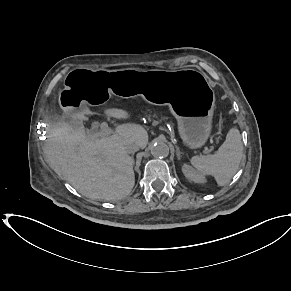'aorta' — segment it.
<instances>
[{
	"label": "aorta",
	"instance_id": "aorta-1",
	"mask_svg": "<svg viewBox=\"0 0 291 291\" xmlns=\"http://www.w3.org/2000/svg\"><path fill=\"white\" fill-rule=\"evenodd\" d=\"M151 154L157 158L167 157L169 155V147L163 142L155 143L151 147Z\"/></svg>",
	"mask_w": 291,
	"mask_h": 291
}]
</instances>
